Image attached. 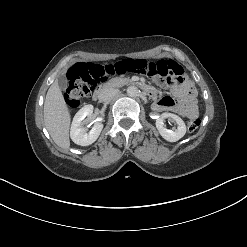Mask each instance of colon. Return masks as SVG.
<instances>
[{
	"label": "colon",
	"instance_id": "colon-1",
	"mask_svg": "<svg viewBox=\"0 0 247 247\" xmlns=\"http://www.w3.org/2000/svg\"><path fill=\"white\" fill-rule=\"evenodd\" d=\"M144 59H123L113 64L76 63L67 73L68 86L65 92V102L70 109L77 108L96 87L97 83L110 76L137 72L143 68ZM201 125L199 118L188 122L187 129L195 131Z\"/></svg>",
	"mask_w": 247,
	"mask_h": 247
}]
</instances>
